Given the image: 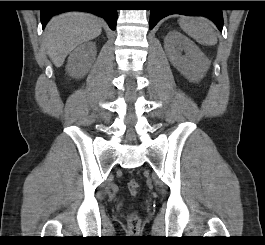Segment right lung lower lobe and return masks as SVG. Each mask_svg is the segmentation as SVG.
<instances>
[{
    "label": "right lung lower lobe",
    "instance_id": "98d812e1",
    "mask_svg": "<svg viewBox=\"0 0 265 245\" xmlns=\"http://www.w3.org/2000/svg\"><path fill=\"white\" fill-rule=\"evenodd\" d=\"M51 4L58 5L55 8L41 10L42 27L45 28L50 18L56 14L66 11H85L100 16L106 20L109 27L115 30L117 23V10L114 1H81L80 3H65L63 1H55ZM65 5L80 7V9H65Z\"/></svg>",
    "mask_w": 265,
    "mask_h": 245
}]
</instances>
